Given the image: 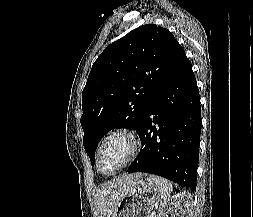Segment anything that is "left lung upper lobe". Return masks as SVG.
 Here are the masks:
<instances>
[{"instance_id": "1", "label": "left lung upper lobe", "mask_w": 253, "mask_h": 217, "mask_svg": "<svg viewBox=\"0 0 253 217\" xmlns=\"http://www.w3.org/2000/svg\"><path fill=\"white\" fill-rule=\"evenodd\" d=\"M169 30L140 26L105 48L82 93L83 145L94 166L95 150L113 128L137 130L151 100L185 58Z\"/></svg>"}]
</instances>
